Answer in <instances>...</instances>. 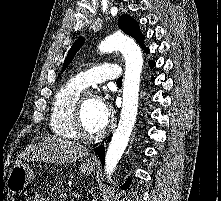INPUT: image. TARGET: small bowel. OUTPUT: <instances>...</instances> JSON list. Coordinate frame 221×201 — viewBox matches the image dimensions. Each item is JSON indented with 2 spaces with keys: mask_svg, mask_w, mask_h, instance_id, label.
<instances>
[{
  "mask_svg": "<svg viewBox=\"0 0 221 201\" xmlns=\"http://www.w3.org/2000/svg\"><path fill=\"white\" fill-rule=\"evenodd\" d=\"M30 201H50L45 194H36Z\"/></svg>",
  "mask_w": 221,
  "mask_h": 201,
  "instance_id": "small-bowel-1",
  "label": "small bowel"
}]
</instances>
